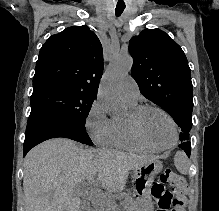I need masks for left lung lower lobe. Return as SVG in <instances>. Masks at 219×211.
<instances>
[{
	"label": "left lung lower lobe",
	"instance_id": "0a47b994",
	"mask_svg": "<svg viewBox=\"0 0 219 211\" xmlns=\"http://www.w3.org/2000/svg\"><path fill=\"white\" fill-rule=\"evenodd\" d=\"M179 147H180L181 149H183V150L186 152V154L188 155V157H190L191 144H190L189 141L182 142V143L179 145Z\"/></svg>",
	"mask_w": 219,
	"mask_h": 211
}]
</instances>
